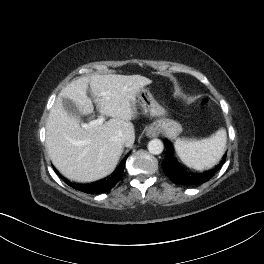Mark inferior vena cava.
I'll list each match as a JSON object with an SVG mask.
<instances>
[{
  "label": "inferior vena cava",
  "mask_w": 264,
  "mask_h": 264,
  "mask_svg": "<svg viewBox=\"0 0 264 264\" xmlns=\"http://www.w3.org/2000/svg\"><path fill=\"white\" fill-rule=\"evenodd\" d=\"M112 141L117 142V143H119L121 145H125L126 144V139L124 137L116 136V137L112 138Z\"/></svg>",
  "instance_id": "602c4592"
}]
</instances>
